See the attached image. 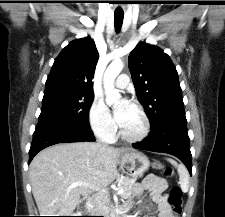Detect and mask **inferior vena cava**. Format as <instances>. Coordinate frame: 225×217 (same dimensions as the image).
Masks as SVG:
<instances>
[{
	"label": "inferior vena cava",
	"instance_id": "1",
	"mask_svg": "<svg viewBox=\"0 0 225 217\" xmlns=\"http://www.w3.org/2000/svg\"><path fill=\"white\" fill-rule=\"evenodd\" d=\"M97 144L100 145V146H103L104 148L107 147V144L101 143L100 141H98ZM92 203L94 204V207H95L94 208V213H96V214L103 213L99 195L95 196V198L92 200Z\"/></svg>",
	"mask_w": 225,
	"mask_h": 217
}]
</instances>
